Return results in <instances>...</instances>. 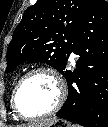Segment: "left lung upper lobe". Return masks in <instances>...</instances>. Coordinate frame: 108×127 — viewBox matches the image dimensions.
Instances as JSON below:
<instances>
[{"instance_id":"5c2ea615","label":"left lung upper lobe","mask_w":108,"mask_h":127,"mask_svg":"<svg viewBox=\"0 0 108 127\" xmlns=\"http://www.w3.org/2000/svg\"><path fill=\"white\" fill-rule=\"evenodd\" d=\"M87 1L38 0L27 8L8 47L7 72L22 62H42L65 75Z\"/></svg>"}]
</instances>
